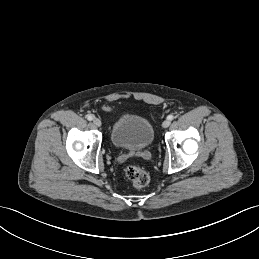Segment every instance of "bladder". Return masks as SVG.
<instances>
[{"label": "bladder", "instance_id": "obj_1", "mask_svg": "<svg viewBox=\"0 0 259 259\" xmlns=\"http://www.w3.org/2000/svg\"><path fill=\"white\" fill-rule=\"evenodd\" d=\"M154 138L151 123L137 114H122L113 124L111 141L122 150L141 151L148 148Z\"/></svg>", "mask_w": 259, "mask_h": 259}]
</instances>
